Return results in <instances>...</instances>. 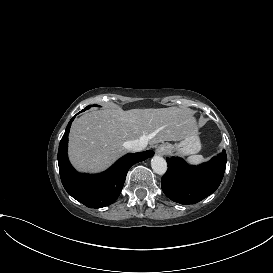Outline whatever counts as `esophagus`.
Listing matches in <instances>:
<instances>
[{
  "label": "esophagus",
  "mask_w": 273,
  "mask_h": 273,
  "mask_svg": "<svg viewBox=\"0 0 273 273\" xmlns=\"http://www.w3.org/2000/svg\"><path fill=\"white\" fill-rule=\"evenodd\" d=\"M169 148L167 145H159L156 149L158 155H165L168 152Z\"/></svg>",
  "instance_id": "esophagus-1"
}]
</instances>
